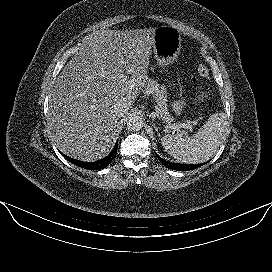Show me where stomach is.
I'll list each match as a JSON object with an SVG mask.
<instances>
[{"label": "stomach", "mask_w": 272, "mask_h": 272, "mask_svg": "<svg viewBox=\"0 0 272 272\" xmlns=\"http://www.w3.org/2000/svg\"><path fill=\"white\" fill-rule=\"evenodd\" d=\"M154 54L157 64L165 69L177 58L181 49V35L177 29L171 26L156 28L154 35Z\"/></svg>", "instance_id": "0dacf381"}]
</instances>
